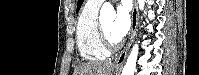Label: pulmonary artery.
<instances>
[{
	"label": "pulmonary artery",
	"mask_w": 199,
	"mask_h": 75,
	"mask_svg": "<svg viewBox=\"0 0 199 75\" xmlns=\"http://www.w3.org/2000/svg\"><path fill=\"white\" fill-rule=\"evenodd\" d=\"M104 1L102 0H92V1H88V4L90 6H100Z\"/></svg>",
	"instance_id": "pulmonary-artery-1"
}]
</instances>
